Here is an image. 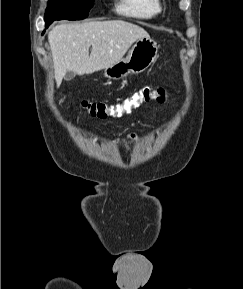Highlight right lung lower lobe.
<instances>
[{
  "mask_svg": "<svg viewBox=\"0 0 243 289\" xmlns=\"http://www.w3.org/2000/svg\"><path fill=\"white\" fill-rule=\"evenodd\" d=\"M51 21H45V28H48V26L51 24Z\"/></svg>",
  "mask_w": 243,
  "mask_h": 289,
  "instance_id": "98d812e1",
  "label": "right lung lower lobe"
}]
</instances>
